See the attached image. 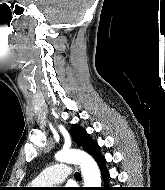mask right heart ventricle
Instances as JSON below:
<instances>
[{
    "instance_id": "1",
    "label": "right heart ventricle",
    "mask_w": 165,
    "mask_h": 190,
    "mask_svg": "<svg viewBox=\"0 0 165 190\" xmlns=\"http://www.w3.org/2000/svg\"><path fill=\"white\" fill-rule=\"evenodd\" d=\"M35 186H36V185L32 182V183H31V187H35Z\"/></svg>"
}]
</instances>
